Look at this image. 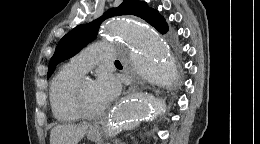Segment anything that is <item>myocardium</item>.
<instances>
[{
    "label": "myocardium",
    "instance_id": "myocardium-1",
    "mask_svg": "<svg viewBox=\"0 0 260 144\" xmlns=\"http://www.w3.org/2000/svg\"><path fill=\"white\" fill-rule=\"evenodd\" d=\"M88 80L89 79L81 78L77 82V84L75 86V90H74V95H73V107L80 117H82L84 119L93 120V119H97L100 116H102L104 113V109L92 112V111L88 110V108L86 107V105L84 103V98H83V86H84V83ZM89 81H91V80H89Z\"/></svg>",
    "mask_w": 260,
    "mask_h": 144
}]
</instances>
